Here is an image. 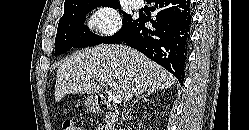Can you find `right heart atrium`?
I'll return each mask as SVG.
<instances>
[{"label":"right heart atrium","instance_id":"d8ad5b80","mask_svg":"<svg viewBox=\"0 0 249 130\" xmlns=\"http://www.w3.org/2000/svg\"><path fill=\"white\" fill-rule=\"evenodd\" d=\"M86 24L99 36L109 37L119 31L121 17L114 7L102 5L87 16Z\"/></svg>","mask_w":249,"mask_h":130}]
</instances>
